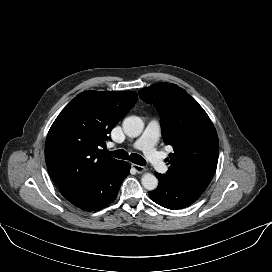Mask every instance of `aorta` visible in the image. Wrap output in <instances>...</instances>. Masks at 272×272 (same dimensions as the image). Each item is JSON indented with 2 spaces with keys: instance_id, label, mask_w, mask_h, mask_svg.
Listing matches in <instances>:
<instances>
[{
  "instance_id": "obj_1",
  "label": "aorta",
  "mask_w": 272,
  "mask_h": 272,
  "mask_svg": "<svg viewBox=\"0 0 272 272\" xmlns=\"http://www.w3.org/2000/svg\"><path fill=\"white\" fill-rule=\"evenodd\" d=\"M123 130L129 137L139 136L144 128V123L140 117L129 116L123 121ZM142 185L147 190H154L158 186V179L151 173H145L141 178Z\"/></svg>"
}]
</instances>
